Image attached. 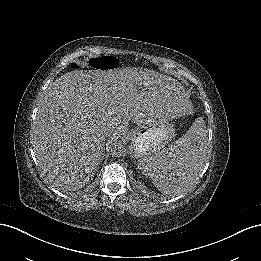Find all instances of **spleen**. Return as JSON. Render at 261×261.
Wrapping results in <instances>:
<instances>
[{
    "mask_svg": "<svg viewBox=\"0 0 261 261\" xmlns=\"http://www.w3.org/2000/svg\"><path fill=\"white\" fill-rule=\"evenodd\" d=\"M200 134L188 131L182 140L150 157L139 159L138 167L165 194L180 190L181 184L202 165Z\"/></svg>",
    "mask_w": 261,
    "mask_h": 261,
    "instance_id": "spleen-1",
    "label": "spleen"
}]
</instances>
